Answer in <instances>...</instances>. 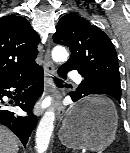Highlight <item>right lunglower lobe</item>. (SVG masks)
Segmentation results:
<instances>
[{
    "label": "right lung lower lobe",
    "instance_id": "obj_1",
    "mask_svg": "<svg viewBox=\"0 0 130 153\" xmlns=\"http://www.w3.org/2000/svg\"><path fill=\"white\" fill-rule=\"evenodd\" d=\"M44 73L42 67H39L33 73L25 76H18L0 80V124L12 130L26 147L29 136L36 126L37 118L34 115L21 117L16 116L14 112L7 109V104L2 100L3 96L12 97L10 88H17L15 103L22 110L30 112L35 101L43 92ZM22 93V90L27 88Z\"/></svg>",
    "mask_w": 130,
    "mask_h": 153
}]
</instances>
